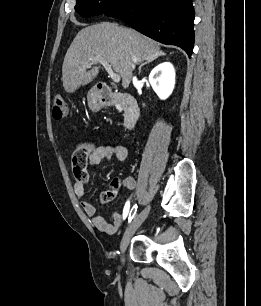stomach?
Masks as SVG:
<instances>
[{
  "label": "stomach",
  "instance_id": "1",
  "mask_svg": "<svg viewBox=\"0 0 261 306\" xmlns=\"http://www.w3.org/2000/svg\"><path fill=\"white\" fill-rule=\"evenodd\" d=\"M87 100L88 106L92 111H98L103 106L102 98L95 89H91L88 92Z\"/></svg>",
  "mask_w": 261,
  "mask_h": 306
}]
</instances>
